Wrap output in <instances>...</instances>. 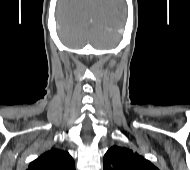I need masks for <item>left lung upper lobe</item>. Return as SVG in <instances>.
<instances>
[{"label":"left lung upper lobe","instance_id":"1","mask_svg":"<svg viewBox=\"0 0 190 170\" xmlns=\"http://www.w3.org/2000/svg\"><path fill=\"white\" fill-rule=\"evenodd\" d=\"M103 165L104 170H159L137 152L119 146H113L106 152Z\"/></svg>","mask_w":190,"mask_h":170}]
</instances>
